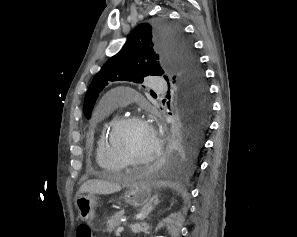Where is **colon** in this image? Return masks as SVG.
Returning a JSON list of instances; mask_svg holds the SVG:
<instances>
[{"label":"colon","mask_w":297,"mask_h":237,"mask_svg":"<svg viewBox=\"0 0 297 237\" xmlns=\"http://www.w3.org/2000/svg\"><path fill=\"white\" fill-rule=\"evenodd\" d=\"M76 237H92L89 226L86 224L79 225L76 230Z\"/></svg>","instance_id":"colon-1"}]
</instances>
